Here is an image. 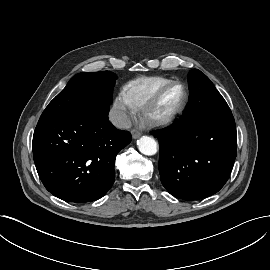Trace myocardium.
I'll list each match as a JSON object with an SVG mask.
<instances>
[{
  "label": "myocardium",
  "instance_id": "myocardium-1",
  "mask_svg": "<svg viewBox=\"0 0 270 270\" xmlns=\"http://www.w3.org/2000/svg\"><path fill=\"white\" fill-rule=\"evenodd\" d=\"M181 89L180 100L171 107L161 109V102L166 92L173 88ZM189 101V92L185 84L180 81L171 80L163 85L154 96L142 107L141 117L143 121L153 127H160L170 124L177 119L185 110Z\"/></svg>",
  "mask_w": 270,
  "mask_h": 270
}]
</instances>
